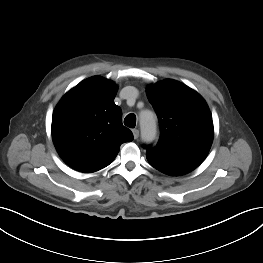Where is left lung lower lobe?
Wrapping results in <instances>:
<instances>
[{
  "mask_svg": "<svg viewBox=\"0 0 263 263\" xmlns=\"http://www.w3.org/2000/svg\"><path fill=\"white\" fill-rule=\"evenodd\" d=\"M146 157L149 164L154 168L173 176L186 174L200 164V162L194 161L169 159L148 151L146 152Z\"/></svg>",
  "mask_w": 263,
  "mask_h": 263,
  "instance_id": "0a47b994",
  "label": "left lung lower lobe"
}]
</instances>
